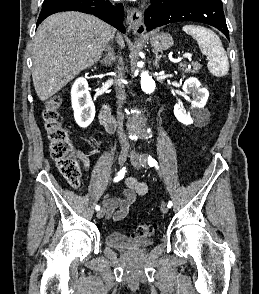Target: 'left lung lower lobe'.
<instances>
[{
    "instance_id": "left-lung-lower-lobe-1",
    "label": "left lung lower lobe",
    "mask_w": 259,
    "mask_h": 294,
    "mask_svg": "<svg viewBox=\"0 0 259 294\" xmlns=\"http://www.w3.org/2000/svg\"><path fill=\"white\" fill-rule=\"evenodd\" d=\"M180 21L209 24L229 39L221 0H151V5L144 14L148 31Z\"/></svg>"
}]
</instances>
